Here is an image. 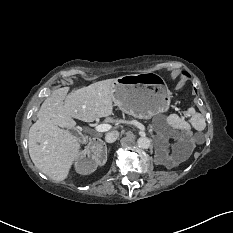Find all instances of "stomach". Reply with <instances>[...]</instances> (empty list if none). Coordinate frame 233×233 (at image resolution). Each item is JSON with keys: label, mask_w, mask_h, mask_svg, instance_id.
Masks as SVG:
<instances>
[{"label": "stomach", "mask_w": 233, "mask_h": 233, "mask_svg": "<svg viewBox=\"0 0 233 233\" xmlns=\"http://www.w3.org/2000/svg\"><path fill=\"white\" fill-rule=\"evenodd\" d=\"M112 97L114 104L122 111L139 119L166 112L170 103L166 83L153 72L116 78Z\"/></svg>", "instance_id": "1"}]
</instances>
